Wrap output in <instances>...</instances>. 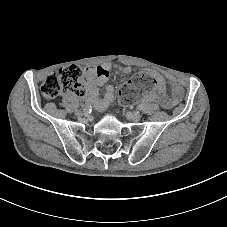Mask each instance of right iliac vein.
Returning a JSON list of instances; mask_svg holds the SVG:
<instances>
[{
	"instance_id": "63e3f726",
	"label": "right iliac vein",
	"mask_w": 227,
	"mask_h": 227,
	"mask_svg": "<svg viewBox=\"0 0 227 227\" xmlns=\"http://www.w3.org/2000/svg\"><path fill=\"white\" fill-rule=\"evenodd\" d=\"M76 115H82V112L80 110L75 111Z\"/></svg>"
}]
</instances>
